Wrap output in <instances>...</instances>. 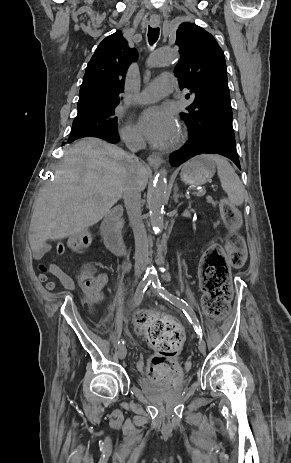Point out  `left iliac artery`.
Returning a JSON list of instances; mask_svg holds the SVG:
<instances>
[{
	"instance_id": "1",
	"label": "left iliac artery",
	"mask_w": 291,
	"mask_h": 463,
	"mask_svg": "<svg viewBox=\"0 0 291 463\" xmlns=\"http://www.w3.org/2000/svg\"><path fill=\"white\" fill-rule=\"evenodd\" d=\"M152 285L159 292L160 296H162L164 299H166L167 301H169L173 305H176L177 307H179L183 311V313L185 314V316L187 317L189 322L191 324H193L195 332L199 335L200 338H202L201 326H200L199 321L196 318L194 312L189 307L188 303L184 299H182V298H180L178 296H175V295L171 294L170 292H168L161 285L158 277H152Z\"/></svg>"
}]
</instances>
